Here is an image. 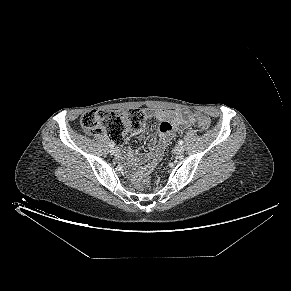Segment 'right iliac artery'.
Returning a JSON list of instances; mask_svg holds the SVG:
<instances>
[{"label":"right iliac artery","instance_id":"obj_1","mask_svg":"<svg viewBox=\"0 0 291 291\" xmlns=\"http://www.w3.org/2000/svg\"><path fill=\"white\" fill-rule=\"evenodd\" d=\"M114 145H115V144H114L113 142H110V143H109V147H110V148H113Z\"/></svg>","mask_w":291,"mask_h":291}]
</instances>
